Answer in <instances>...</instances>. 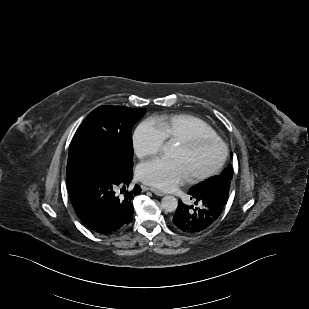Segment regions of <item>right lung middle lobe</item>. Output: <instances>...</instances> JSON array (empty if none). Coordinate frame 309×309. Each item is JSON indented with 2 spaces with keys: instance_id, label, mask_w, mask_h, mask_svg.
I'll list each match as a JSON object with an SVG mask.
<instances>
[{
  "instance_id": "1",
  "label": "right lung middle lobe",
  "mask_w": 309,
  "mask_h": 309,
  "mask_svg": "<svg viewBox=\"0 0 309 309\" xmlns=\"http://www.w3.org/2000/svg\"><path fill=\"white\" fill-rule=\"evenodd\" d=\"M146 109L100 106L93 110L76 131L69 156L92 155L114 163L119 169L133 166L131 129Z\"/></svg>"
}]
</instances>
